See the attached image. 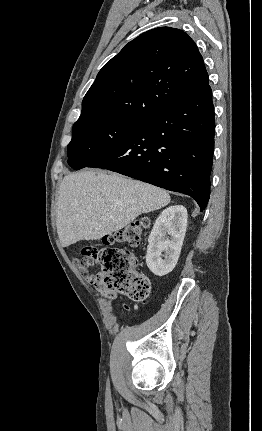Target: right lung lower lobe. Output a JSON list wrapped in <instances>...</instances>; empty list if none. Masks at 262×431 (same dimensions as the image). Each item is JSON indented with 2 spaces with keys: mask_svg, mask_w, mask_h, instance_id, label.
I'll return each mask as SVG.
<instances>
[{
  "mask_svg": "<svg viewBox=\"0 0 262 431\" xmlns=\"http://www.w3.org/2000/svg\"><path fill=\"white\" fill-rule=\"evenodd\" d=\"M214 132L208 86L198 95L142 119L128 137L88 167L187 194L203 211L210 196Z\"/></svg>",
  "mask_w": 262,
  "mask_h": 431,
  "instance_id": "right-lung-lower-lobe-1",
  "label": "right lung lower lobe"
}]
</instances>
